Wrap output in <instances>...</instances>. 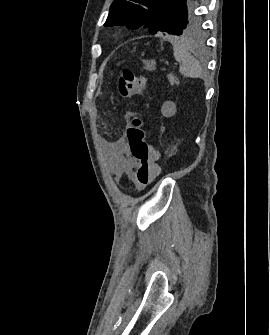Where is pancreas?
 Returning a JSON list of instances; mask_svg holds the SVG:
<instances>
[{"label": "pancreas", "mask_w": 270, "mask_h": 335, "mask_svg": "<svg viewBox=\"0 0 270 335\" xmlns=\"http://www.w3.org/2000/svg\"><path fill=\"white\" fill-rule=\"evenodd\" d=\"M167 78L170 82V86H174V84H177V86H178L179 82H178L177 78H175L174 74H168Z\"/></svg>", "instance_id": "cf45deb5"}]
</instances>
